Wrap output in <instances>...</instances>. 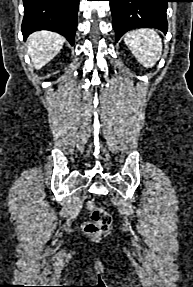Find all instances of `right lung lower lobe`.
I'll return each mask as SVG.
<instances>
[{"instance_id":"1","label":"right lung lower lobe","mask_w":193,"mask_h":287,"mask_svg":"<svg viewBox=\"0 0 193 287\" xmlns=\"http://www.w3.org/2000/svg\"><path fill=\"white\" fill-rule=\"evenodd\" d=\"M24 19L22 33L26 39L38 30L62 34L71 45L77 27L79 0H23Z\"/></svg>"}]
</instances>
